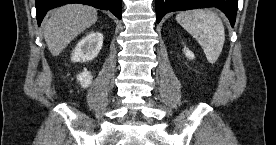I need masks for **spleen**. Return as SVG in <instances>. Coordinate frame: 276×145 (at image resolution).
Segmentation results:
<instances>
[{"label": "spleen", "mask_w": 276, "mask_h": 145, "mask_svg": "<svg viewBox=\"0 0 276 145\" xmlns=\"http://www.w3.org/2000/svg\"><path fill=\"white\" fill-rule=\"evenodd\" d=\"M176 21L199 42L208 62L214 64L225 42L221 19L210 10L194 9L179 13Z\"/></svg>", "instance_id": "spleen-1"}]
</instances>
